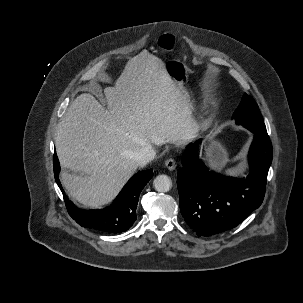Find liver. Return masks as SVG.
<instances>
[{
  "label": "liver",
  "mask_w": 303,
  "mask_h": 303,
  "mask_svg": "<svg viewBox=\"0 0 303 303\" xmlns=\"http://www.w3.org/2000/svg\"><path fill=\"white\" fill-rule=\"evenodd\" d=\"M108 109L84 93L72 102L55 136L68 194L86 207L110 202L135 173L134 154L151 143L181 145L197 125L187 92L147 50L131 58L114 87L104 89Z\"/></svg>",
  "instance_id": "liver-1"
}]
</instances>
